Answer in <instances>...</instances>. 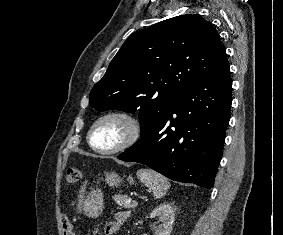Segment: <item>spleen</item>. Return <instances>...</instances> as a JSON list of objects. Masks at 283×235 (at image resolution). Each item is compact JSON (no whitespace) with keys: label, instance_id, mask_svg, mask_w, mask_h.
I'll list each match as a JSON object with an SVG mask.
<instances>
[{"label":"spleen","instance_id":"3e777b00","mask_svg":"<svg viewBox=\"0 0 283 235\" xmlns=\"http://www.w3.org/2000/svg\"><path fill=\"white\" fill-rule=\"evenodd\" d=\"M137 177L145 186L152 190L154 197L157 199L164 197L170 188L168 179L153 170L139 169Z\"/></svg>","mask_w":283,"mask_h":235}]
</instances>
